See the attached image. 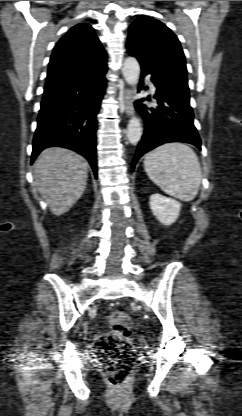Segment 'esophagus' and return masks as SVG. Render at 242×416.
<instances>
[{"instance_id":"esophagus-1","label":"esophagus","mask_w":242,"mask_h":416,"mask_svg":"<svg viewBox=\"0 0 242 416\" xmlns=\"http://www.w3.org/2000/svg\"><path fill=\"white\" fill-rule=\"evenodd\" d=\"M124 111L128 116H131L134 112L133 102H132V90H126L123 96Z\"/></svg>"}]
</instances>
